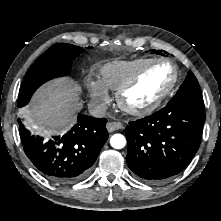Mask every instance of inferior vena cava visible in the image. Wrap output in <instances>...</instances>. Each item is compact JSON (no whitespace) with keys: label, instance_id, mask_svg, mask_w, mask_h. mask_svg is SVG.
<instances>
[{"label":"inferior vena cava","instance_id":"1","mask_svg":"<svg viewBox=\"0 0 221 221\" xmlns=\"http://www.w3.org/2000/svg\"><path fill=\"white\" fill-rule=\"evenodd\" d=\"M88 110L93 117L102 118L107 112V105L101 100H92L88 104Z\"/></svg>","mask_w":221,"mask_h":221}]
</instances>
